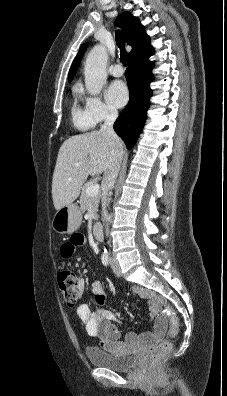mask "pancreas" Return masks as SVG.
I'll return each mask as SVG.
<instances>
[{"instance_id":"1","label":"pancreas","mask_w":227,"mask_h":396,"mask_svg":"<svg viewBox=\"0 0 227 396\" xmlns=\"http://www.w3.org/2000/svg\"><path fill=\"white\" fill-rule=\"evenodd\" d=\"M89 185H90V183L82 188V192H81V196H80V209L82 212L90 210L93 218L95 220H97L98 219V215H97L98 205H99L101 194L98 193L96 195L89 196L86 193V189L88 188Z\"/></svg>"}]
</instances>
